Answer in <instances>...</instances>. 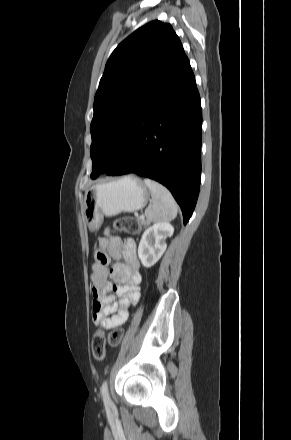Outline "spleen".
Wrapping results in <instances>:
<instances>
[{
	"instance_id": "3e777b00",
	"label": "spleen",
	"mask_w": 291,
	"mask_h": 440,
	"mask_svg": "<svg viewBox=\"0 0 291 440\" xmlns=\"http://www.w3.org/2000/svg\"><path fill=\"white\" fill-rule=\"evenodd\" d=\"M152 196V204L145 210V216L150 222L171 221L177 216L178 206L170 191L149 178L144 179Z\"/></svg>"
}]
</instances>
